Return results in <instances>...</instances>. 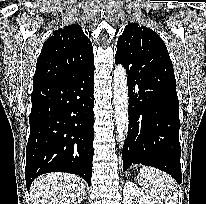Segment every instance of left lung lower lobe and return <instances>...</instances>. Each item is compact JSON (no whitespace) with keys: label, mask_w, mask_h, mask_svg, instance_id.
I'll use <instances>...</instances> for the list:
<instances>
[{"label":"left lung lower lobe","mask_w":206,"mask_h":204,"mask_svg":"<svg viewBox=\"0 0 206 204\" xmlns=\"http://www.w3.org/2000/svg\"><path fill=\"white\" fill-rule=\"evenodd\" d=\"M115 63L121 62L115 57ZM125 68L129 125L122 153L123 171L133 163L152 166L181 184L179 102L174 73L162 66Z\"/></svg>","instance_id":"obj_1"}]
</instances>
